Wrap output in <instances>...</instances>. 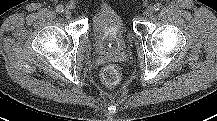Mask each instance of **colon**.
I'll return each instance as SVG.
<instances>
[{"instance_id":"obj_1","label":"colon","mask_w":217,"mask_h":121,"mask_svg":"<svg viewBox=\"0 0 217 121\" xmlns=\"http://www.w3.org/2000/svg\"><path fill=\"white\" fill-rule=\"evenodd\" d=\"M124 70L120 65L109 64L101 71V79L108 86L117 85L123 78Z\"/></svg>"}]
</instances>
